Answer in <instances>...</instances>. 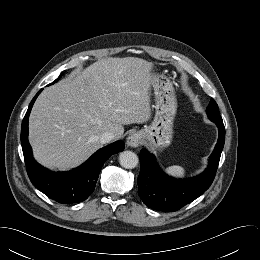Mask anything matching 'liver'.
I'll list each match as a JSON object with an SVG mask.
<instances>
[{"label": "liver", "instance_id": "liver-1", "mask_svg": "<svg viewBox=\"0 0 260 260\" xmlns=\"http://www.w3.org/2000/svg\"><path fill=\"white\" fill-rule=\"evenodd\" d=\"M152 68L140 58H107L44 89L29 117L35 159L50 169L75 168L102 147L103 133L119 139L123 125L148 121Z\"/></svg>", "mask_w": 260, "mask_h": 260}]
</instances>
